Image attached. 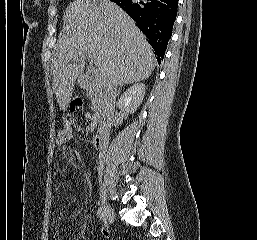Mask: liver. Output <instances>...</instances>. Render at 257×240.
I'll return each mask as SVG.
<instances>
[{
    "label": "liver",
    "mask_w": 257,
    "mask_h": 240,
    "mask_svg": "<svg viewBox=\"0 0 257 240\" xmlns=\"http://www.w3.org/2000/svg\"><path fill=\"white\" fill-rule=\"evenodd\" d=\"M53 62L52 88L61 110L71 100L74 84L83 78V56L95 59L98 78L106 86L147 79L156 66L152 47L135 22L109 0H75L63 16Z\"/></svg>",
    "instance_id": "6515ba94"
}]
</instances>
